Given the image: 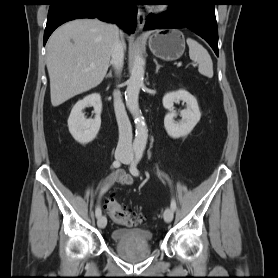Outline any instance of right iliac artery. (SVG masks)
<instances>
[{
    "label": "right iliac artery",
    "instance_id": "1",
    "mask_svg": "<svg viewBox=\"0 0 278 278\" xmlns=\"http://www.w3.org/2000/svg\"><path fill=\"white\" fill-rule=\"evenodd\" d=\"M112 165H113L114 168H118V167H120L121 162L119 160H116V161L113 162ZM105 192H106V189L102 190L99 194V197H101ZM95 215H96L97 218L101 216V208H100L99 205H97V207H96Z\"/></svg>",
    "mask_w": 278,
    "mask_h": 278
}]
</instances>
